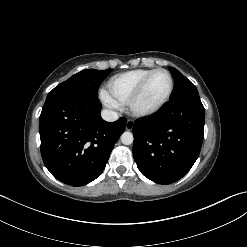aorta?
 <instances>
[{
    "mask_svg": "<svg viewBox=\"0 0 247 247\" xmlns=\"http://www.w3.org/2000/svg\"><path fill=\"white\" fill-rule=\"evenodd\" d=\"M121 142L124 144V145H130L133 143V140H134V137H133V134L131 132H124L121 137Z\"/></svg>",
    "mask_w": 247,
    "mask_h": 247,
    "instance_id": "762f6f07",
    "label": "aorta"
}]
</instances>
